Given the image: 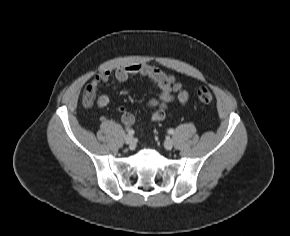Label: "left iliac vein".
<instances>
[{
  "label": "left iliac vein",
  "instance_id": "1",
  "mask_svg": "<svg viewBox=\"0 0 290 236\" xmlns=\"http://www.w3.org/2000/svg\"><path fill=\"white\" fill-rule=\"evenodd\" d=\"M164 147L167 149V150H171L173 148V140L172 139H167L165 142H164Z\"/></svg>",
  "mask_w": 290,
  "mask_h": 236
}]
</instances>
